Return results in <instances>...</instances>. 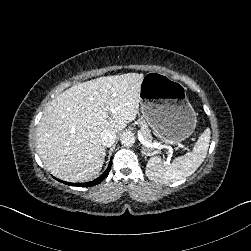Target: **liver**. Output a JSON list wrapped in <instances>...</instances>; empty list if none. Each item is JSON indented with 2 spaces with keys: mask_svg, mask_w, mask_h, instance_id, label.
<instances>
[{
  "mask_svg": "<svg viewBox=\"0 0 251 251\" xmlns=\"http://www.w3.org/2000/svg\"><path fill=\"white\" fill-rule=\"evenodd\" d=\"M143 74L126 73L78 83L47 107L36 129V147L53 176L72 183L91 181L103 167V130L119 133L138 110ZM105 102L112 118L104 112Z\"/></svg>",
  "mask_w": 251,
  "mask_h": 251,
  "instance_id": "1",
  "label": "liver"
}]
</instances>
